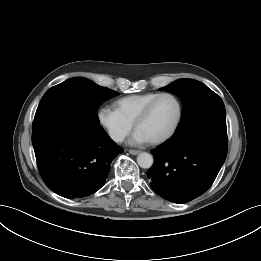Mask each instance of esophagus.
<instances>
[{
	"instance_id": "34e87169",
	"label": "esophagus",
	"mask_w": 261,
	"mask_h": 261,
	"mask_svg": "<svg viewBox=\"0 0 261 261\" xmlns=\"http://www.w3.org/2000/svg\"><path fill=\"white\" fill-rule=\"evenodd\" d=\"M129 153L132 155H138L140 153L139 150H129Z\"/></svg>"
}]
</instances>
